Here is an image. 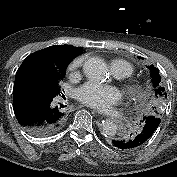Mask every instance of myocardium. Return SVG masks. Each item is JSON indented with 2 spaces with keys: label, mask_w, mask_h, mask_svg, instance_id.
<instances>
[{
  "label": "myocardium",
  "mask_w": 177,
  "mask_h": 177,
  "mask_svg": "<svg viewBox=\"0 0 177 177\" xmlns=\"http://www.w3.org/2000/svg\"><path fill=\"white\" fill-rule=\"evenodd\" d=\"M126 95L132 100H138L145 96V88L137 79H129L123 83Z\"/></svg>",
  "instance_id": "f54148a6"
}]
</instances>
